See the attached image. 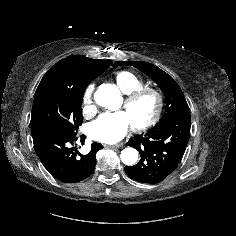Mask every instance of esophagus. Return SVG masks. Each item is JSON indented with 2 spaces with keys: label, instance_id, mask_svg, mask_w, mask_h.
<instances>
[{
  "label": "esophagus",
  "instance_id": "34e87169",
  "mask_svg": "<svg viewBox=\"0 0 236 236\" xmlns=\"http://www.w3.org/2000/svg\"><path fill=\"white\" fill-rule=\"evenodd\" d=\"M123 146V144H116V145H109L107 147H110V148H121Z\"/></svg>",
  "mask_w": 236,
  "mask_h": 236
}]
</instances>
